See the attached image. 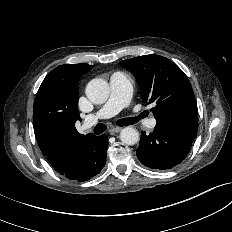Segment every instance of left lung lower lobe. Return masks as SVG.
I'll use <instances>...</instances> for the list:
<instances>
[{"instance_id":"1","label":"left lung lower lobe","mask_w":232,"mask_h":232,"mask_svg":"<svg viewBox=\"0 0 232 232\" xmlns=\"http://www.w3.org/2000/svg\"><path fill=\"white\" fill-rule=\"evenodd\" d=\"M197 129L198 122L156 121L153 132L141 133L136 155L143 165L151 169H171L188 155Z\"/></svg>"}]
</instances>
